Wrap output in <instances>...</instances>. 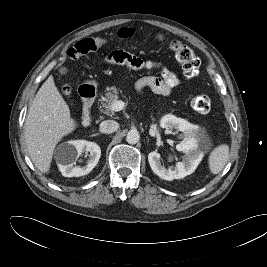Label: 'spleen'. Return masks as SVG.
Wrapping results in <instances>:
<instances>
[{
    "label": "spleen",
    "mask_w": 267,
    "mask_h": 267,
    "mask_svg": "<svg viewBox=\"0 0 267 267\" xmlns=\"http://www.w3.org/2000/svg\"><path fill=\"white\" fill-rule=\"evenodd\" d=\"M229 156V146L226 144L215 147L209 157L208 164L212 174H218L225 166Z\"/></svg>",
    "instance_id": "1"
}]
</instances>
